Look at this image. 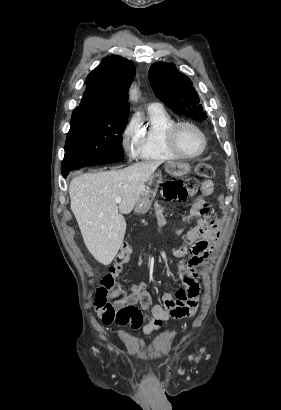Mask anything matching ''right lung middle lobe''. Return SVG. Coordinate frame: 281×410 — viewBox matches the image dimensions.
Segmentation results:
<instances>
[{"instance_id": "right-lung-middle-lobe-1", "label": "right lung middle lobe", "mask_w": 281, "mask_h": 410, "mask_svg": "<svg viewBox=\"0 0 281 410\" xmlns=\"http://www.w3.org/2000/svg\"><path fill=\"white\" fill-rule=\"evenodd\" d=\"M127 117L91 108H76L66 139L62 172L124 158L121 142Z\"/></svg>"}]
</instances>
